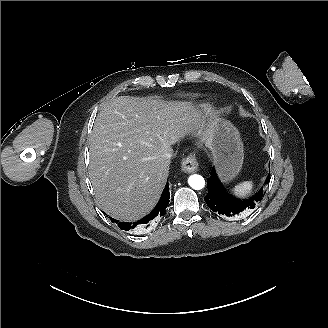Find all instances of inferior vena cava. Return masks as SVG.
<instances>
[{"instance_id":"obj_1","label":"inferior vena cava","mask_w":328,"mask_h":328,"mask_svg":"<svg viewBox=\"0 0 328 328\" xmlns=\"http://www.w3.org/2000/svg\"><path fill=\"white\" fill-rule=\"evenodd\" d=\"M165 156L167 157V159H171L173 157V154L172 153H167Z\"/></svg>"}]
</instances>
